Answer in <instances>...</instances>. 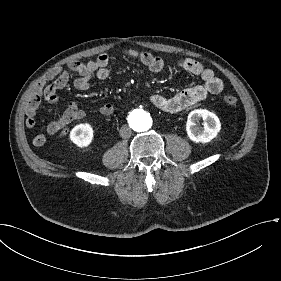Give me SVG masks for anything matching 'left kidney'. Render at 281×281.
<instances>
[{
  "instance_id": "obj_1",
  "label": "left kidney",
  "mask_w": 281,
  "mask_h": 281,
  "mask_svg": "<svg viewBox=\"0 0 281 281\" xmlns=\"http://www.w3.org/2000/svg\"><path fill=\"white\" fill-rule=\"evenodd\" d=\"M200 118L204 121L203 130L196 124ZM220 130V119L209 110L196 109L191 111L187 117L186 133L194 143H208L217 137Z\"/></svg>"
}]
</instances>
